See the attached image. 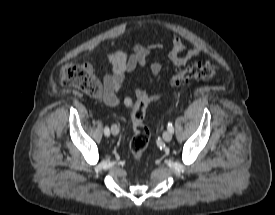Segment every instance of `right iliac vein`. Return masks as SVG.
<instances>
[{
    "label": "right iliac vein",
    "instance_id": "right-iliac-vein-1",
    "mask_svg": "<svg viewBox=\"0 0 275 215\" xmlns=\"http://www.w3.org/2000/svg\"><path fill=\"white\" fill-rule=\"evenodd\" d=\"M111 132L113 135H117L119 133V127L116 124L111 126Z\"/></svg>",
    "mask_w": 275,
    "mask_h": 215
}]
</instances>
